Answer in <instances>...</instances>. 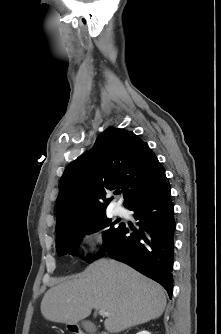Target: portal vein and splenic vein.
Segmentation results:
<instances>
[{"instance_id":"portal-vein-and-splenic-vein-1","label":"portal vein and splenic vein","mask_w":221,"mask_h":334,"mask_svg":"<svg viewBox=\"0 0 221 334\" xmlns=\"http://www.w3.org/2000/svg\"><path fill=\"white\" fill-rule=\"evenodd\" d=\"M99 315H101V316H103V317H107V316H109L110 314L108 313V312H106L104 309H100L99 310Z\"/></svg>"}]
</instances>
